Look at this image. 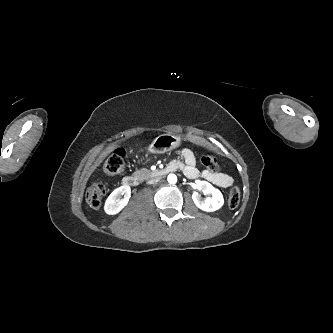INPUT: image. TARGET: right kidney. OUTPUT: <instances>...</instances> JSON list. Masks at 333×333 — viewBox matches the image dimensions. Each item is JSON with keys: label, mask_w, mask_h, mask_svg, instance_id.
<instances>
[{"label": "right kidney", "mask_w": 333, "mask_h": 333, "mask_svg": "<svg viewBox=\"0 0 333 333\" xmlns=\"http://www.w3.org/2000/svg\"><path fill=\"white\" fill-rule=\"evenodd\" d=\"M130 195L131 189L127 185L114 189L105 202V212L110 215L120 212L127 205Z\"/></svg>", "instance_id": "1"}]
</instances>
